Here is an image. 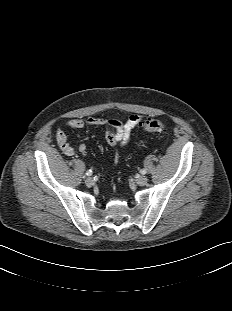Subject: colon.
I'll return each mask as SVG.
<instances>
[{"label":"colon","instance_id":"obj_1","mask_svg":"<svg viewBox=\"0 0 232 311\" xmlns=\"http://www.w3.org/2000/svg\"><path fill=\"white\" fill-rule=\"evenodd\" d=\"M141 127L148 133H164L167 130L166 124L160 119H149L143 122Z\"/></svg>","mask_w":232,"mask_h":311}]
</instances>
